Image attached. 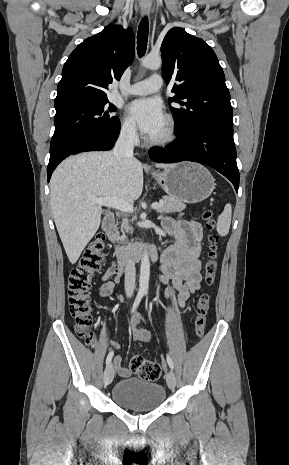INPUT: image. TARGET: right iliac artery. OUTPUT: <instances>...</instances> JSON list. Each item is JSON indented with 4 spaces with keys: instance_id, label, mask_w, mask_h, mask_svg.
I'll return each mask as SVG.
<instances>
[{
    "instance_id": "82829eb1",
    "label": "right iliac artery",
    "mask_w": 289,
    "mask_h": 465,
    "mask_svg": "<svg viewBox=\"0 0 289 465\" xmlns=\"http://www.w3.org/2000/svg\"><path fill=\"white\" fill-rule=\"evenodd\" d=\"M143 295H144V294H143L142 292H139V293L137 294L136 299H135L134 304H133V307H132V310H131V313L135 312V310L137 309V307H138V305H139V303H140V301H141ZM113 355H114L113 351H111V352L108 354V356H107V358H106V365H108V364L111 362Z\"/></svg>"
}]
</instances>
